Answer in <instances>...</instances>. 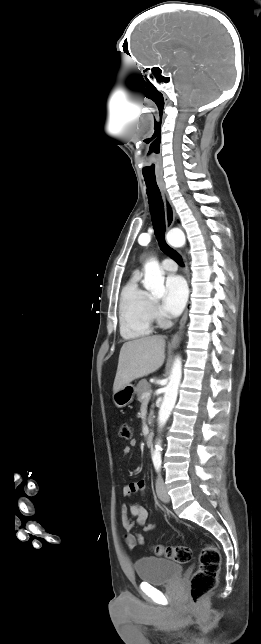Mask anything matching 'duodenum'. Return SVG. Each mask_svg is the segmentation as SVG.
<instances>
[{
  "label": "duodenum",
  "instance_id": "duodenum-1",
  "mask_svg": "<svg viewBox=\"0 0 261 644\" xmlns=\"http://www.w3.org/2000/svg\"><path fill=\"white\" fill-rule=\"evenodd\" d=\"M154 440V433L152 431H149L145 437V444L146 446H151Z\"/></svg>",
  "mask_w": 261,
  "mask_h": 644
}]
</instances>
